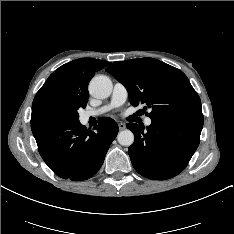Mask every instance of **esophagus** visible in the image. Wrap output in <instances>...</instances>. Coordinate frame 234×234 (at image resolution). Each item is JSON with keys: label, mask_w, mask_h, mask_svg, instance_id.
<instances>
[{"label": "esophagus", "mask_w": 234, "mask_h": 234, "mask_svg": "<svg viewBox=\"0 0 234 234\" xmlns=\"http://www.w3.org/2000/svg\"><path fill=\"white\" fill-rule=\"evenodd\" d=\"M119 130H124L126 128V125L122 122L118 123Z\"/></svg>", "instance_id": "obj_1"}]
</instances>
